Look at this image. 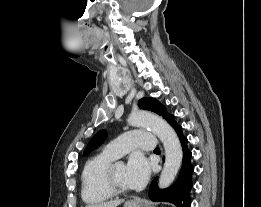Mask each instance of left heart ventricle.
Segmentation results:
<instances>
[{
  "label": "left heart ventricle",
  "instance_id": "1",
  "mask_svg": "<svg viewBox=\"0 0 261 207\" xmlns=\"http://www.w3.org/2000/svg\"><path fill=\"white\" fill-rule=\"evenodd\" d=\"M114 175L117 184L125 189H129V185L126 180V166L122 163H117L114 168Z\"/></svg>",
  "mask_w": 261,
  "mask_h": 207
}]
</instances>
